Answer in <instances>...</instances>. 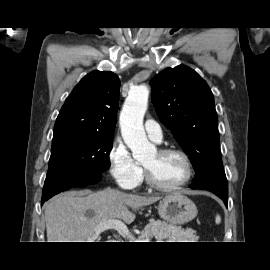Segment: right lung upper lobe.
<instances>
[{"label": "right lung upper lobe", "mask_w": 270, "mask_h": 270, "mask_svg": "<svg viewBox=\"0 0 270 270\" xmlns=\"http://www.w3.org/2000/svg\"><path fill=\"white\" fill-rule=\"evenodd\" d=\"M120 80L110 71L87 74L66 99L54 132L78 131L114 134Z\"/></svg>", "instance_id": "right-lung-upper-lobe-1"}]
</instances>
